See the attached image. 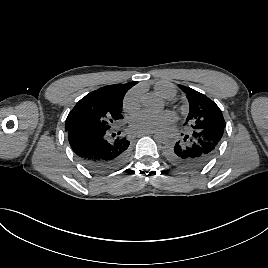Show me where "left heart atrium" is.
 <instances>
[{"label": "left heart atrium", "mask_w": 268, "mask_h": 268, "mask_svg": "<svg viewBox=\"0 0 268 268\" xmlns=\"http://www.w3.org/2000/svg\"><path fill=\"white\" fill-rule=\"evenodd\" d=\"M157 120L162 125H169V124L174 123L175 116L171 112H164L157 118ZM147 121H148L147 115L142 112V113L135 114L131 117L130 125L133 129H139V130L145 129Z\"/></svg>", "instance_id": "left-heart-atrium-1"}]
</instances>
